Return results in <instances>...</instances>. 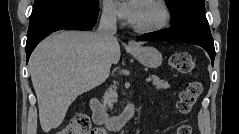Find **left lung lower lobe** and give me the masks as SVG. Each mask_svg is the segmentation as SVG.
<instances>
[{
	"label": "left lung lower lobe",
	"mask_w": 239,
	"mask_h": 134,
	"mask_svg": "<svg viewBox=\"0 0 239 134\" xmlns=\"http://www.w3.org/2000/svg\"><path fill=\"white\" fill-rule=\"evenodd\" d=\"M141 41H180L203 47L209 54L212 65L215 48L208 21L204 14H189L167 30L137 36Z\"/></svg>",
	"instance_id": "left-lung-lower-lobe-1"
}]
</instances>
